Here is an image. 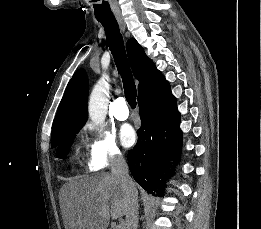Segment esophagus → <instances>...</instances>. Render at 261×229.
Listing matches in <instances>:
<instances>
[{
	"label": "esophagus",
	"mask_w": 261,
	"mask_h": 229,
	"mask_svg": "<svg viewBox=\"0 0 261 229\" xmlns=\"http://www.w3.org/2000/svg\"><path fill=\"white\" fill-rule=\"evenodd\" d=\"M116 19H117V22L120 26V29L124 32L125 29H126V24H125L123 16L122 15H116Z\"/></svg>",
	"instance_id": "34e87169"
}]
</instances>
